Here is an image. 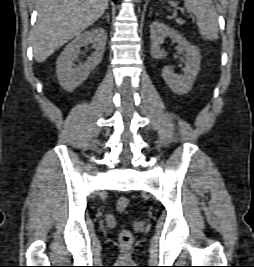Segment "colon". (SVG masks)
<instances>
[{"mask_svg": "<svg viewBox=\"0 0 254 267\" xmlns=\"http://www.w3.org/2000/svg\"><path fill=\"white\" fill-rule=\"evenodd\" d=\"M129 204H130L129 198L121 197L117 201L116 206H117L118 211L124 212L129 207ZM133 241H134V237H133V234L131 233V231H129L127 229L121 230V232L119 234V242L122 246L129 247L132 245Z\"/></svg>", "mask_w": 254, "mask_h": 267, "instance_id": "obj_1", "label": "colon"}]
</instances>
